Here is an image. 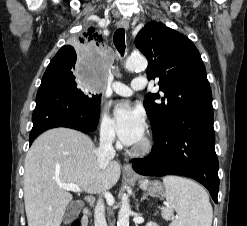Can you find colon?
Wrapping results in <instances>:
<instances>
[{"instance_id":"1","label":"colon","mask_w":247,"mask_h":226,"mask_svg":"<svg viewBox=\"0 0 247 226\" xmlns=\"http://www.w3.org/2000/svg\"><path fill=\"white\" fill-rule=\"evenodd\" d=\"M69 226H81L79 220L73 221Z\"/></svg>"}]
</instances>
